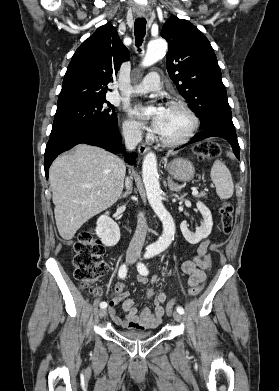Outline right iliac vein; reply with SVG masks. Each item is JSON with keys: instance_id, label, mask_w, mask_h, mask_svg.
<instances>
[{"instance_id": "63e3f726", "label": "right iliac vein", "mask_w": 279, "mask_h": 391, "mask_svg": "<svg viewBox=\"0 0 279 391\" xmlns=\"http://www.w3.org/2000/svg\"><path fill=\"white\" fill-rule=\"evenodd\" d=\"M133 261H134V258L131 257V256H129V257H128V262H129V263H132ZM98 313H99V317H100V318H103V317L107 314V310L102 308V309L99 310Z\"/></svg>"}]
</instances>
